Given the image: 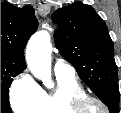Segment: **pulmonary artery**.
Listing matches in <instances>:
<instances>
[{
    "label": "pulmonary artery",
    "mask_w": 121,
    "mask_h": 113,
    "mask_svg": "<svg viewBox=\"0 0 121 113\" xmlns=\"http://www.w3.org/2000/svg\"><path fill=\"white\" fill-rule=\"evenodd\" d=\"M55 74H74V67L66 62L57 61L54 65Z\"/></svg>",
    "instance_id": "1"
}]
</instances>
